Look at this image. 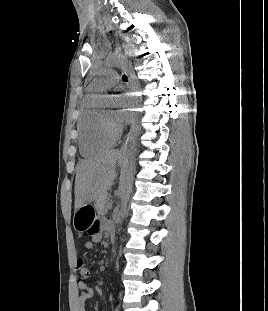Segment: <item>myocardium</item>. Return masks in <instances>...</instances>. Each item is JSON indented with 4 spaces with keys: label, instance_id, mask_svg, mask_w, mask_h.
<instances>
[{
    "label": "myocardium",
    "instance_id": "1",
    "mask_svg": "<svg viewBox=\"0 0 268 311\" xmlns=\"http://www.w3.org/2000/svg\"><path fill=\"white\" fill-rule=\"evenodd\" d=\"M101 122L105 134L112 138H118L122 133L120 124L112 118H108L104 113H101Z\"/></svg>",
    "mask_w": 268,
    "mask_h": 311
}]
</instances>
